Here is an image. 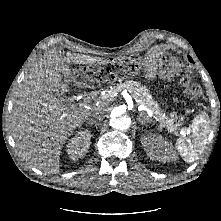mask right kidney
Returning a JSON list of instances; mask_svg holds the SVG:
<instances>
[{
	"label": "right kidney",
	"mask_w": 221,
	"mask_h": 221,
	"mask_svg": "<svg viewBox=\"0 0 221 221\" xmlns=\"http://www.w3.org/2000/svg\"><path fill=\"white\" fill-rule=\"evenodd\" d=\"M91 133L88 130L78 132L72 137L66 145V151L69 158L77 160L79 157L84 156L89 149Z\"/></svg>",
	"instance_id": "right-kidney-1"
}]
</instances>
